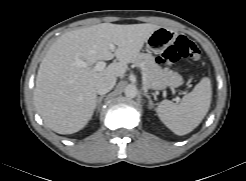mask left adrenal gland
Instances as JSON below:
<instances>
[{
	"label": "left adrenal gland",
	"mask_w": 246,
	"mask_h": 181,
	"mask_svg": "<svg viewBox=\"0 0 246 181\" xmlns=\"http://www.w3.org/2000/svg\"><path fill=\"white\" fill-rule=\"evenodd\" d=\"M144 96L146 98H148V101H149V109H153L154 108V103H153L151 97L147 94V92L145 90H144Z\"/></svg>",
	"instance_id": "1"
}]
</instances>
